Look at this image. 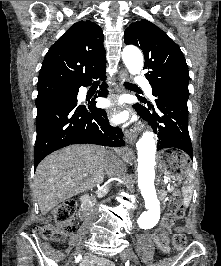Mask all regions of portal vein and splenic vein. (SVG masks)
<instances>
[{"label":"portal vein and splenic vein","mask_w":221,"mask_h":266,"mask_svg":"<svg viewBox=\"0 0 221 266\" xmlns=\"http://www.w3.org/2000/svg\"><path fill=\"white\" fill-rule=\"evenodd\" d=\"M164 182L166 183V184H168V180L166 179V180H164ZM170 188V185L168 184V189Z\"/></svg>","instance_id":"obj_1"}]
</instances>
